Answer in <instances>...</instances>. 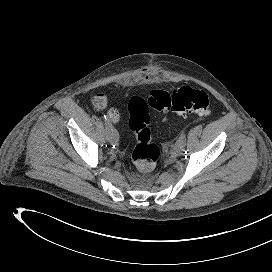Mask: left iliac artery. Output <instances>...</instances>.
<instances>
[{
  "label": "left iliac artery",
  "mask_w": 272,
  "mask_h": 272,
  "mask_svg": "<svg viewBox=\"0 0 272 272\" xmlns=\"http://www.w3.org/2000/svg\"><path fill=\"white\" fill-rule=\"evenodd\" d=\"M177 143H178L180 146H184V145L186 144V135H185V131H184V130L181 131Z\"/></svg>",
  "instance_id": "obj_1"
}]
</instances>
